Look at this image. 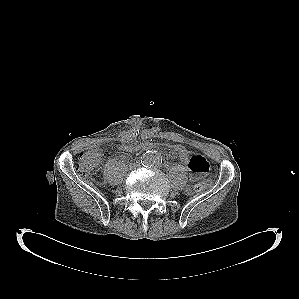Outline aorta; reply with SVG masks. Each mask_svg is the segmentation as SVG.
<instances>
[{
	"label": "aorta",
	"instance_id": "1",
	"mask_svg": "<svg viewBox=\"0 0 299 299\" xmlns=\"http://www.w3.org/2000/svg\"><path fill=\"white\" fill-rule=\"evenodd\" d=\"M161 158L156 151H148L141 157V162L145 167H155L160 164Z\"/></svg>",
	"mask_w": 299,
	"mask_h": 299
}]
</instances>
